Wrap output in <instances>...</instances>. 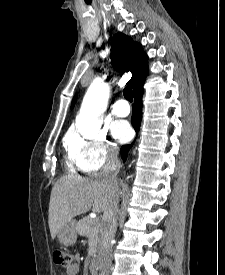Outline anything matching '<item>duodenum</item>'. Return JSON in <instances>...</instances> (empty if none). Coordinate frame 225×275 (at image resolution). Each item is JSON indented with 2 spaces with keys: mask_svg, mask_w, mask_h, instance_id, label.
Here are the masks:
<instances>
[{
  "mask_svg": "<svg viewBox=\"0 0 225 275\" xmlns=\"http://www.w3.org/2000/svg\"><path fill=\"white\" fill-rule=\"evenodd\" d=\"M96 258L95 257H92L91 260H90V275H95V272H96Z\"/></svg>",
  "mask_w": 225,
  "mask_h": 275,
  "instance_id": "duodenum-1",
  "label": "duodenum"
}]
</instances>
